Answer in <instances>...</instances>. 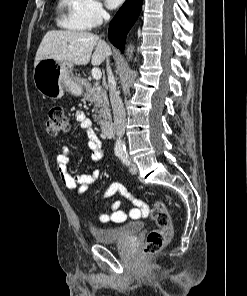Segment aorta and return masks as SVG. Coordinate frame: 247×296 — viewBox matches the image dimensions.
Listing matches in <instances>:
<instances>
[{"label": "aorta", "mask_w": 247, "mask_h": 296, "mask_svg": "<svg viewBox=\"0 0 247 296\" xmlns=\"http://www.w3.org/2000/svg\"><path fill=\"white\" fill-rule=\"evenodd\" d=\"M132 52V51H131ZM131 54H129V58H131ZM117 148H122L123 147V143L122 141L119 139L117 142H116V145H115Z\"/></svg>", "instance_id": "obj_1"}]
</instances>
